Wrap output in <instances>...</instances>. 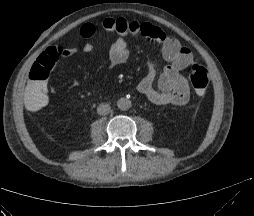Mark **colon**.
Listing matches in <instances>:
<instances>
[{"mask_svg": "<svg viewBox=\"0 0 254 216\" xmlns=\"http://www.w3.org/2000/svg\"><path fill=\"white\" fill-rule=\"evenodd\" d=\"M61 49H47L29 71V80L22 89V104L24 109L32 114L42 112L48 104L47 79L55 65L60 60ZM189 79L192 87L198 95H203L209 84V72L206 67L195 63L189 69Z\"/></svg>", "mask_w": 254, "mask_h": 216, "instance_id": "1", "label": "colon"}]
</instances>
